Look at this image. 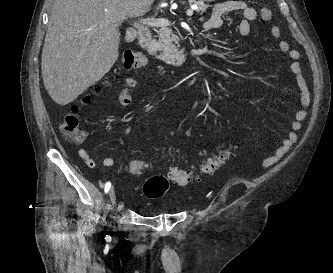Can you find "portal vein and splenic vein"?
<instances>
[{"mask_svg": "<svg viewBox=\"0 0 333 273\" xmlns=\"http://www.w3.org/2000/svg\"><path fill=\"white\" fill-rule=\"evenodd\" d=\"M197 6H192L190 9L187 10L186 15L187 16H192L193 15V10L197 9ZM138 23L150 26V27H161L162 29L166 28L167 26L170 25V22L168 19L165 18H159V19H154V18H146V19H140Z\"/></svg>", "mask_w": 333, "mask_h": 273, "instance_id": "1", "label": "portal vein and splenic vein"}]
</instances>
